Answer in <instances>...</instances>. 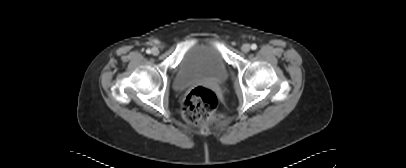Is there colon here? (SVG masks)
I'll return each instance as SVG.
<instances>
[{"label":"colon","instance_id":"1","mask_svg":"<svg viewBox=\"0 0 406 168\" xmlns=\"http://www.w3.org/2000/svg\"><path fill=\"white\" fill-rule=\"evenodd\" d=\"M217 104V96L211 88L197 86L186 95L182 104V114L191 124L219 120L222 115L216 113Z\"/></svg>","mask_w":406,"mask_h":168}]
</instances>
